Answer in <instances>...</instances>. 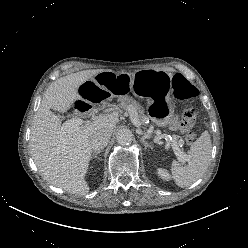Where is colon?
I'll return each mask as SVG.
<instances>
[{"label":"colon","mask_w":248,"mask_h":248,"mask_svg":"<svg viewBox=\"0 0 248 248\" xmlns=\"http://www.w3.org/2000/svg\"><path fill=\"white\" fill-rule=\"evenodd\" d=\"M172 90L177 99L184 101L182 111L185 118L187 120L193 118L196 110L191 100L197 96V89L183 75L176 74L172 79ZM182 124H187V122ZM195 138L196 134L193 131H187L185 139L188 144L193 143Z\"/></svg>","instance_id":"obj_1"}]
</instances>
